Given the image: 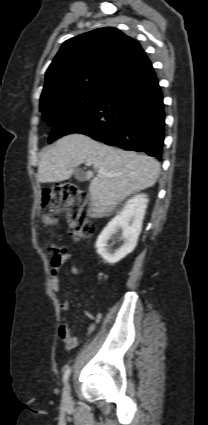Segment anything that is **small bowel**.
<instances>
[{"instance_id": "c3829d8e", "label": "small bowel", "mask_w": 208, "mask_h": 425, "mask_svg": "<svg viewBox=\"0 0 208 425\" xmlns=\"http://www.w3.org/2000/svg\"><path fill=\"white\" fill-rule=\"evenodd\" d=\"M70 258H71V254L64 253L63 256H62V260H61V262L58 266H54L52 264L53 265V271H52V274H51L50 285H51V288L54 292L59 291L60 274H59L58 268ZM58 306H59V310L62 313H65L68 310V307H69L68 302L63 300V299L58 300ZM86 316L91 320V323L87 327V333H89V332L93 331L95 325L100 321L102 314L101 313L92 314V313L88 312V313H86ZM58 334H59L61 341L64 343V345L68 349H73V348L77 347L80 343L81 338L78 337V336H75L71 333L69 326H68V323L66 322V319L64 317H62V320L59 324Z\"/></svg>"}]
</instances>
